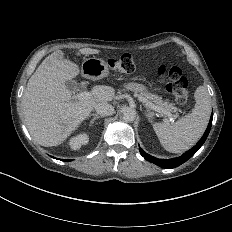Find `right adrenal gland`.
Wrapping results in <instances>:
<instances>
[{"instance_id": "obj_1", "label": "right adrenal gland", "mask_w": 232, "mask_h": 232, "mask_svg": "<svg viewBox=\"0 0 232 232\" xmlns=\"http://www.w3.org/2000/svg\"><path fill=\"white\" fill-rule=\"evenodd\" d=\"M89 117H91V115L88 116V117L86 118V120H89ZM98 118H102V116H100V115H98V114L92 115V120H91L90 123H89L88 129L91 128V126L93 125V123L95 122V120L98 119Z\"/></svg>"}]
</instances>
